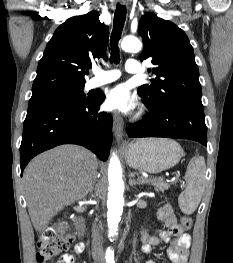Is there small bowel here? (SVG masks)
Returning a JSON list of instances; mask_svg holds the SVG:
<instances>
[{
  "label": "small bowel",
  "instance_id": "c3829d8e",
  "mask_svg": "<svg viewBox=\"0 0 233 263\" xmlns=\"http://www.w3.org/2000/svg\"><path fill=\"white\" fill-rule=\"evenodd\" d=\"M158 218L166 226L167 230L159 232L158 235L152 236L146 232L141 236V252L150 253L154 246L161 243H170L167 251L168 257L172 263H187L189 257V248L191 246V237L177 223L173 208L170 204L163 205L158 211ZM84 244L79 243L75 247L76 253H82ZM56 263H74V258L70 254L62 255ZM146 263H156L154 260H147Z\"/></svg>",
  "mask_w": 233,
  "mask_h": 263
}]
</instances>
